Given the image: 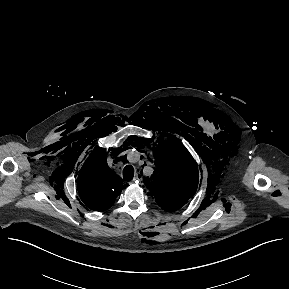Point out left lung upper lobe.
Returning <instances> with one entry per match:
<instances>
[{
	"label": "left lung upper lobe",
	"instance_id": "1",
	"mask_svg": "<svg viewBox=\"0 0 289 289\" xmlns=\"http://www.w3.org/2000/svg\"><path fill=\"white\" fill-rule=\"evenodd\" d=\"M153 154L156 168L150 178H144L149 194L165 211L180 209L197 190L199 174L197 164L187 149L176 138L160 141Z\"/></svg>",
	"mask_w": 289,
	"mask_h": 289
}]
</instances>
